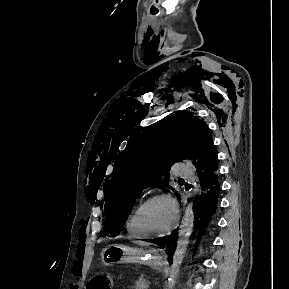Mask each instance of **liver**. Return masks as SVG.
Here are the masks:
<instances>
[{
  "label": "liver",
  "instance_id": "liver-1",
  "mask_svg": "<svg viewBox=\"0 0 289 289\" xmlns=\"http://www.w3.org/2000/svg\"><path fill=\"white\" fill-rule=\"evenodd\" d=\"M138 245H144L145 243L144 242H141V241H137L136 242Z\"/></svg>",
  "mask_w": 289,
  "mask_h": 289
}]
</instances>
